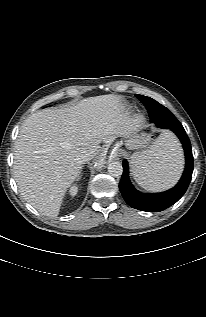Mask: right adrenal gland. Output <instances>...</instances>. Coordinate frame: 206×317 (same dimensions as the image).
Listing matches in <instances>:
<instances>
[{"label":"right adrenal gland","instance_id":"1","mask_svg":"<svg viewBox=\"0 0 206 317\" xmlns=\"http://www.w3.org/2000/svg\"><path fill=\"white\" fill-rule=\"evenodd\" d=\"M81 172H82V167H81V170H80V172H79V175H78L77 181L81 178Z\"/></svg>","mask_w":206,"mask_h":317}]
</instances>
